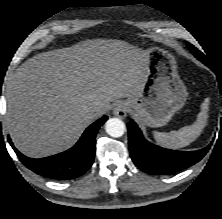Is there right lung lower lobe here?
I'll return each mask as SVG.
<instances>
[{
    "label": "right lung lower lobe",
    "instance_id": "98d812e1",
    "mask_svg": "<svg viewBox=\"0 0 222 219\" xmlns=\"http://www.w3.org/2000/svg\"><path fill=\"white\" fill-rule=\"evenodd\" d=\"M107 119V116H103L91 124L71 149L46 158L26 157L14 147L9 136L8 140L20 161L33 172L50 179H74L92 166L96 152V133Z\"/></svg>",
    "mask_w": 222,
    "mask_h": 219
}]
</instances>
